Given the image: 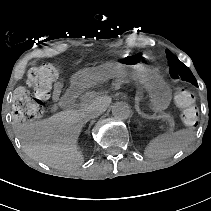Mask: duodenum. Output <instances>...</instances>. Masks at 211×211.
I'll use <instances>...</instances> for the list:
<instances>
[{"label": "duodenum", "mask_w": 211, "mask_h": 211, "mask_svg": "<svg viewBox=\"0 0 211 211\" xmlns=\"http://www.w3.org/2000/svg\"><path fill=\"white\" fill-rule=\"evenodd\" d=\"M82 89L83 86L80 82L72 83L65 95L60 99V105L64 108L69 107L73 103V101L80 95Z\"/></svg>", "instance_id": "duodenum-1"}]
</instances>
